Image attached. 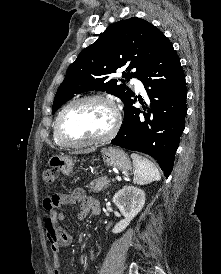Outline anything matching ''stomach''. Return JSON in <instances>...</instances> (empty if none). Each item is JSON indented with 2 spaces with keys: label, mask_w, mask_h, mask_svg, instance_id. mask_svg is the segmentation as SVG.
I'll return each instance as SVG.
<instances>
[{
  "label": "stomach",
  "mask_w": 221,
  "mask_h": 274,
  "mask_svg": "<svg viewBox=\"0 0 221 274\" xmlns=\"http://www.w3.org/2000/svg\"><path fill=\"white\" fill-rule=\"evenodd\" d=\"M102 158L105 164L111 167H115L120 171L126 172L131 169V161L128 155L118 148H105L102 150ZM75 160L70 156L54 155L52 156L48 164L51 168L57 169L64 175H71L73 172Z\"/></svg>",
  "instance_id": "obj_1"
}]
</instances>
